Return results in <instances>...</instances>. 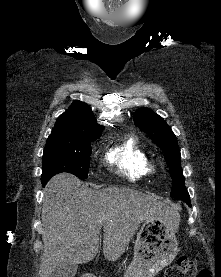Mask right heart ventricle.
<instances>
[{"label": "right heart ventricle", "instance_id": "1", "mask_svg": "<svg viewBox=\"0 0 221 277\" xmlns=\"http://www.w3.org/2000/svg\"><path fill=\"white\" fill-rule=\"evenodd\" d=\"M107 162L130 180H141L149 174V157L138 139L129 136L114 145L106 155Z\"/></svg>", "mask_w": 221, "mask_h": 277}]
</instances>
